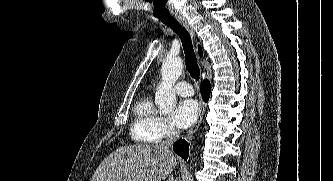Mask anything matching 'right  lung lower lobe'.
Instances as JSON below:
<instances>
[{"label": "right lung lower lobe", "mask_w": 333, "mask_h": 181, "mask_svg": "<svg viewBox=\"0 0 333 181\" xmlns=\"http://www.w3.org/2000/svg\"><path fill=\"white\" fill-rule=\"evenodd\" d=\"M210 83L208 80H205L202 85H201V93L203 100L205 102L208 101L209 96H210ZM173 150L176 154L179 156L183 157L185 160H187L188 157V150H189V145L185 140H178L174 143Z\"/></svg>", "instance_id": "right-lung-lower-lobe-1"}]
</instances>
